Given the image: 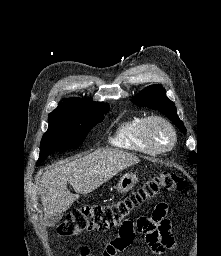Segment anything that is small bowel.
Instances as JSON below:
<instances>
[{
    "label": "small bowel",
    "instance_id": "obj_1",
    "mask_svg": "<svg viewBox=\"0 0 221 256\" xmlns=\"http://www.w3.org/2000/svg\"><path fill=\"white\" fill-rule=\"evenodd\" d=\"M167 204L159 203L148 214L132 221L130 227L119 230L118 236L103 248L100 256H120L129 247H134L135 233L139 232L145 236V246L142 253L145 256H164L168 251L176 247L171 230V223L166 218ZM80 256H95L90 248L84 247ZM133 256H136L133 251Z\"/></svg>",
    "mask_w": 221,
    "mask_h": 256
}]
</instances>
